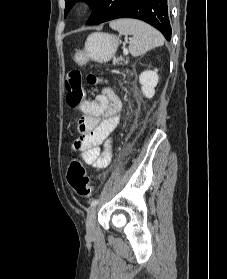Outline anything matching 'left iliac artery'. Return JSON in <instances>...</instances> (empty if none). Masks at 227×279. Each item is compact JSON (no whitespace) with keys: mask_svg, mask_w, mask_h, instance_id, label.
<instances>
[{"mask_svg":"<svg viewBox=\"0 0 227 279\" xmlns=\"http://www.w3.org/2000/svg\"><path fill=\"white\" fill-rule=\"evenodd\" d=\"M98 202H99V199H94V200L91 202V206L97 205Z\"/></svg>","mask_w":227,"mask_h":279,"instance_id":"left-iliac-artery-1","label":"left iliac artery"}]
</instances>
